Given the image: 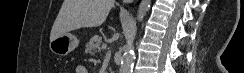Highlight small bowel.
<instances>
[{"instance_id": "small-bowel-1", "label": "small bowel", "mask_w": 244, "mask_h": 73, "mask_svg": "<svg viewBox=\"0 0 244 73\" xmlns=\"http://www.w3.org/2000/svg\"><path fill=\"white\" fill-rule=\"evenodd\" d=\"M87 72L88 71H87L86 67L83 65H78L76 67V73H87Z\"/></svg>"}]
</instances>
